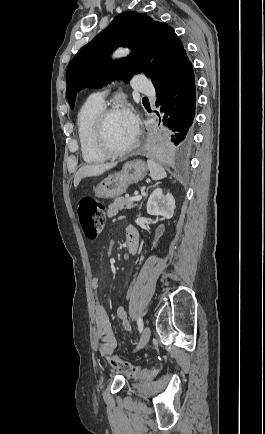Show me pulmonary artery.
I'll list each match as a JSON object with an SVG mask.
<instances>
[{"label":"pulmonary artery","mask_w":265,"mask_h":434,"mask_svg":"<svg viewBox=\"0 0 265 434\" xmlns=\"http://www.w3.org/2000/svg\"><path fill=\"white\" fill-rule=\"evenodd\" d=\"M132 80L136 84H147L148 77H147V75H136L133 77ZM90 96L93 99V101L96 103L99 101L103 102V100L105 98V93H104V91H93Z\"/></svg>","instance_id":"1"}]
</instances>
